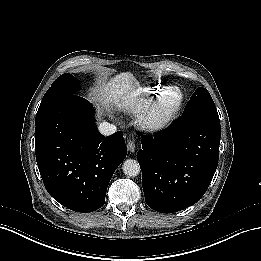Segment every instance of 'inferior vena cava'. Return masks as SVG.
<instances>
[{
	"label": "inferior vena cava",
	"mask_w": 261,
	"mask_h": 261,
	"mask_svg": "<svg viewBox=\"0 0 261 261\" xmlns=\"http://www.w3.org/2000/svg\"><path fill=\"white\" fill-rule=\"evenodd\" d=\"M98 130L104 136L112 135L117 131L116 126L108 122L100 123V125L98 126Z\"/></svg>",
	"instance_id": "obj_1"
}]
</instances>
